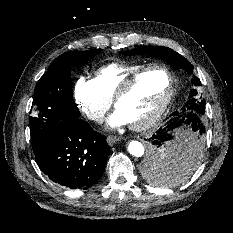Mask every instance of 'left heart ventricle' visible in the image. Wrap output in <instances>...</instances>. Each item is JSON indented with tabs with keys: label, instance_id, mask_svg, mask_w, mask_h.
<instances>
[{
	"label": "left heart ventricle",
	"instance_id": "left-heart-ventricle-1",
	"mask_svg": "<svg viewBox=\"0 0 233 233\" xmlns=\"http://www.w3.org/2000/svg\"><path fill=\"white\" fill-rule=\"evenodd\" d=\"M169 80L162 70L145 74L119 103L120 111L129 123L148 117L159 105L168 89Z\"/></svg>",
	"mask_w": 233,
	"mask_h": 233
}]
</instances>
